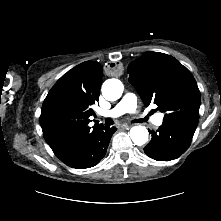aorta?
I'll return each mask as SVG.
<instances>
[{"instance_id":"1","label":"aorta","mask_w":221,"mask_h":221,"mask_svg":"<svg viewBox=\"0 0 221 221\" xmlns=\"http://www.w3.org/2000/svg\"><path fill=\"white\" fill-rule=\"evenodd\" d=\"M123 93V84L118 79H108L102 85V94L109 101L118 100ZM130 137L135 145L142 146L148 142L149 133L146 127L138 125L130 130Z\"/></svg>"}]
</instances>
